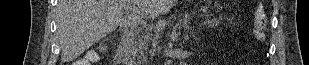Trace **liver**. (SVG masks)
Masks as SVG:
<instances>
[{
  "mask_svg": "<svg viewBox=\"0 0 309 65\" xmlns=\"http://www.w3.org/2000/svg\"><path fill=\"white\" fill-rule=\"evenodd\" d=\"M136 5L140 13L133 11ZM172 5V0H58L56 23L61 59L72 61L118 26L135 28L143 15L154 19L167 13ZM123 9L130 14L124 15Z\"/></svg>",
  "mask_w": 309,
  "mask_h": 65,
  "instance_id": "6515ba94",
  "label": "liver"
}]
</instances>
